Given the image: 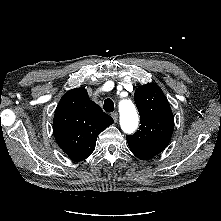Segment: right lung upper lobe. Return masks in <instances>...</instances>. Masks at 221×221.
I'll use <instances>...</instances> for the list:
<instances>
[{"label": "right lung upper lobe", "mask_w": 221, "mask_h": 221, "mask_svg": "<svg viewBox=\"0 0 221 221\" xmlns=\"http://www.w3.org/2000/svg\"><path fill=\"white\" fill-rule=\"evenodd\" d=\"M114 120L88 96L85 88L69 90L54 115L53 132L59 147L73 161H82L94 151L100 132Z\"/></svg>", "instance_id": "1"}]
</instances>
